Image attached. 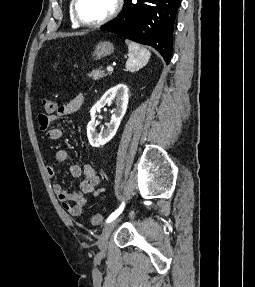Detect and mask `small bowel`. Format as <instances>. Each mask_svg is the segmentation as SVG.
<instances>
[{
	"label": "small bowel",
	"instance_id": "obj_1",
	"mask_svg": "<svg viewBox=\"0 0 255 287\" xmlns=\"http://www.w3.org/2000/svg\"><path fill=\"white\" fill-rule=\"evenodd\" d=\"M84 102V96L79 94L69 101L59 106L53 115L42 114L39 116L40 129L46 132L49 139L57 141L63 138V130L53 125V123L71 113L78 111ZM69 158V152L66 149H59L55 153V159L57 162H65ZM47 175L51 178L57 175V169L54 165H48L46 167ZM70 173L73 177L83 178L79 183L78 191H69L63 187L59 182L53 185V191L57 200L61 204L62 210L68 216L77 217L85 212V208L90 202V196L98 195L102 189L100 186V178L90 164L71 165Z\"/></svg>",
	"mask_w": 255,
	"mask_h": 287
}]
</instances>
